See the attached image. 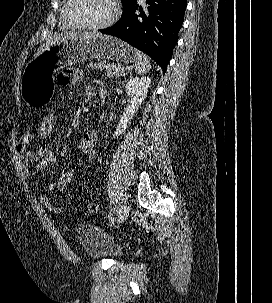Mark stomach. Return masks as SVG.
Returning <instances> with one entry per match:
<instances>
[{
    "label": "stomach",
    "mask_w": 272,
    "mask_h": 303,
    "mask_svg": "<svg viewBox=\"0 0 272 303\" xmlns=\"http://www.w3.org/2000/svg\"><path fill=\"white\" fill-rule=\"evenodd\" d=\"M86 59L129 63L136 61L137 55L131 46L112 36L94 35L62 41L26 65L20 85L22 99L28 106L46 104L52 96L54 74Z\"/></svg>",
    "instance_id": "0dacf381"
}]
</instances>
